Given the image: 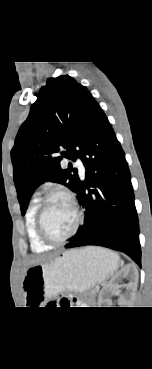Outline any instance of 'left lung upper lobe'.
<instances>
[{
    "instance_id": "5c2ea615",
    "label": "left lung upper lobe",
    "mask_w": 152,
    "mask_h": 369,
    "mask_svg": "<svg viewBox=\"0 0 152 369\" xmlns=\"http://www.w3.org/2000/svg\"><path fill=\"white\" fill-rule=\"evenodd\" d=\"M20 127L11 151L14 183L22 215L33 191L46 181L76 191L77 169H61V155L76 160L99 107L91 93L72 77L49 78Z\"/></svg>"
}]
</instances>
